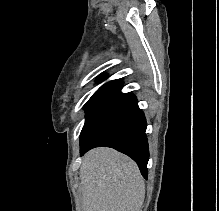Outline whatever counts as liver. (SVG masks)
<instances>
[{"instance_id": "obj_1", "label": "liver", "mask_w": 219, "mask_h": 211, "mask_svg": "<svg viewBox=\"0 0 219 211\" xmlns=\"http://www.w3.org/2000/svg\"><path fill=\"white\" fill-rule=\"evenodd\" d=\"M83 211H140L145 181L128 155L112 147H95L80 165Z\"/></svg>"}]
</instances>
